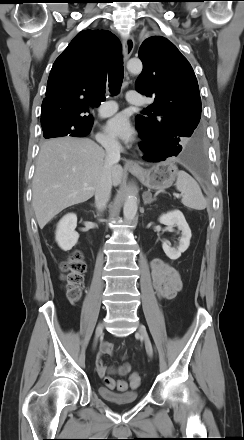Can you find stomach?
<instances>
[{
	"instance_id": "stomach-1",
	"label": "stomach",
	"mask_w": 244,
	"mask_h": 440,
	"mask_svg": "<svg viewBox=\"0 0 244 440\" xmlns=\"http://www.w3.org/2000/svg\"><path fill=\"white\" fill-rule=\"evenodd\" d=\"M129 171L135 175L143 185L154 190H164L171 187L178 173L176 165L170 160L156 163L148 169H129Z\"/></svg>"
}]
</instances>
